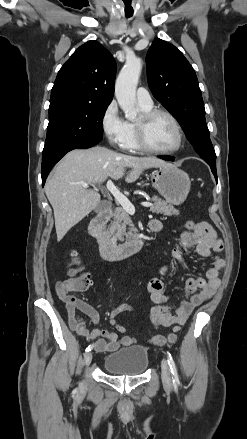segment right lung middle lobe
Segmentation results:
<instances>
[{
    "label": "right lung middle lobe",
    "instance_id": "right-lung-middle-lobe-1",
    "mask_svg": "<svg viewBox=\"0 0 247 439\" xmlns=\"http://www.w3.org/2000/svg\"><path fill=\"white\" fill-rule=\"evenodd\" d=\"M109 104L60 102L49 107V124L42 159L102 140V121Z\"/></svg>",
    "mask_w": 247,
    "mask_h": 439
}]
</instances>
